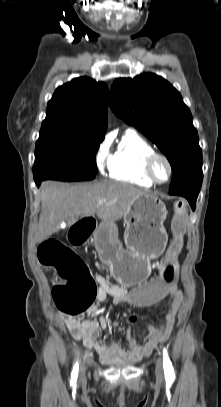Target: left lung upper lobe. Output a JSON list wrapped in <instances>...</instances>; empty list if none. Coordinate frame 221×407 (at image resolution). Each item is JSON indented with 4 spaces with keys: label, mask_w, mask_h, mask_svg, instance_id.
<instances>
[{
    "label": "left lung upper lobe",
    "mask_w": 221,
    "mask_h": 407,
    "mask_svg": "<svg viewBox=\"0 0 221 407\" xmlns=\"http://www.w3.org/2000/svg\"><path fill=\"white\" fill-rule=\"evenodd\" d=\"M110 106L166 155L172 168L169 190L202 173V150L191 112L168 81L153 73L116 79Z\"/></svg>",
    "instance_id": "1"
}]
</instances>
